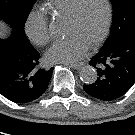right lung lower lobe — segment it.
I'll return each mask as SVG.
<instances>
[{
    "instance_id": "1",
    "label": "right lung lower lobe",
    "mask_w": 135,
    "mask_h": 135,
    "mask_svg": "<svg viewBox=\"0 0 135 135\" xmlns=\"http://www.w3.org/2000/svg\"><path fill=\"white\" fill-rule=\"evenodd\" d=\"M39 53L26 36L12 29L0 40V93L15 103H28L39 98L53 73L39 69Z\"/></svg>"
}]
</instances>
